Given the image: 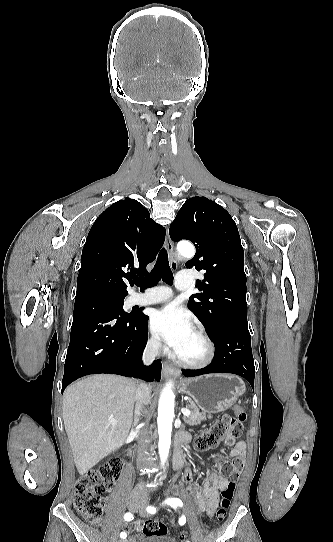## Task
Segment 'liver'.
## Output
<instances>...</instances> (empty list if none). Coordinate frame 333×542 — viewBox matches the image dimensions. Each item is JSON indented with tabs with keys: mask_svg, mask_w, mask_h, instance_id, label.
Instances as JSON below:
<instances>
[{
	"mask_svg": "<svg viewBox=\"0 0 333 542\" xmlns=\"http://www.w3.org/2000/svg\"><path fill=\"white\" fill-rule=\"evenodd\" d=\"M136 388L135 380L111 374H94L66 388L63 420L80 476L123 446L132 424Z\"/></svg>",
	"mask_w": 333,
	"mask_h": 542,
	"instance_id": "1",
	"label": "liver"
}]
</instances>
